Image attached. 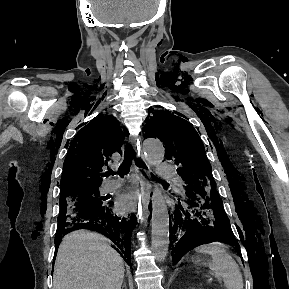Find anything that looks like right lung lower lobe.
Here are the masks:
<instances>
[{
	"mask_svg": "<svg viewBox=\"0 0 289 289\" xmlns=\"http://www.w3.org/2000/svg\"><path fill=\"white\" fill-rule=\"evenodd\" d=\"M135 224L131 216V221L118 217L112 211L111 204L101 205L88 213H79L65 223L58 225L55 236V248L61 242L62 237L71 231L78 229H89L102 233L116 245L117 252L123 257L126 263L131 266L130 261V238Z\"/></svg>",
	"mask_w": 289,
	"mask_h": 289,
	"instance_id": "98d812e1",
	"label": "right lung lower lobe"
}]
</instances>
